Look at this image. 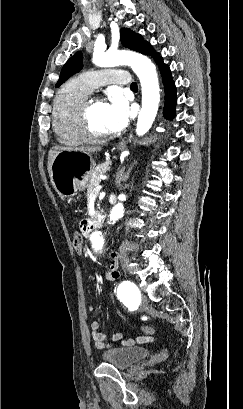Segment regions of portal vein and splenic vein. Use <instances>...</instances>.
<instances>
[{"instance_id":"1","label":"portal vein and splenic vein","mask_w":243,"mask_h":409,"mask_svg":"<svg viewBox=\"0 0 243 409\" xmlns=\"http://www.w3.org/2000/svg\"><path fill=\"white\" fill-rule=\"evenodd\" d=\"M101 189H102V186H101V185L96 186V187L94 188V191H93L92 194H95V195L98 194Z\"/></svg>"}]
</instances>
